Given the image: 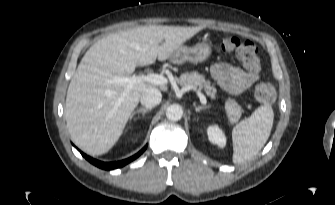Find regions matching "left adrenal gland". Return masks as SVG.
<instances>
[{
    "mask_svg": "<svg viewBox=\"0 0 335 205\" xmlns=\"http://www.w3.org/2000/svg\"><path fill=\"white\" fill-rule=\"evenodd\" d=\"M209 107H210L209 105H204V106H196L195 105V111L200 112L201 110L207 109Z\"/></svg>",
    "mask_w": 335,
    "mask_h": 205,
    "instance_id": "obj_1",
    "label": "left adrenal gland"
}]
</instances>
